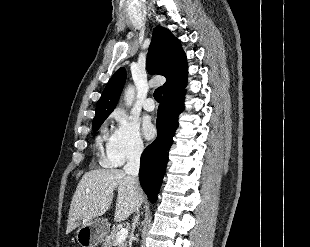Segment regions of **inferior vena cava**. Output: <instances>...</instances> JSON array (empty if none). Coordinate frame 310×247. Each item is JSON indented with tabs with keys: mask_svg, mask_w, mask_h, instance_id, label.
Listing matches in <instances>:
<instances>
[{
	"mask_svg": "<svg viewBox=\"0 0 310 247\" xmlns=\"http://www.w3.org/2000/svg\"><path fill=\"white\" fill-rule=\"evenodd\" d=\"M142 151H143L142 144L135 146V148L129 153L128 161L124 166V172L125 174L131 177L133 187L139 186L138 173H139L140 157H141ZM136 212H138V208L136 209ZM137 222H138V215L135 216L133 219V223H132L133 230L135 229Z\"/></svg>",
	"mask_w": 310,
	"mask_h": 247,
	"instance_id": "obj_1",
	"label": "inferior vena cava"
}]
</instances>
